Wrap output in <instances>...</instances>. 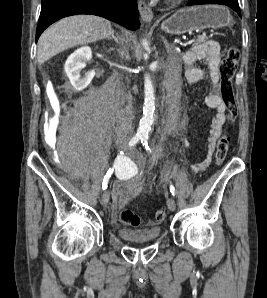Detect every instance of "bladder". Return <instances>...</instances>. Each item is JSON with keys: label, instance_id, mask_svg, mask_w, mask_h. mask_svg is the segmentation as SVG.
I'll return each instance as SVG.
<instances>
[{"label": "bladder", "instance_id": "31cf9c89", "mask_svg": "<svg viewBox=\"0 0 267 298\" xmlns=\"http://www.w3.org/2000/svg\"><path fill=\"white\" fill-rule=\"evenodd\" d=\"M117 233L118 236L126 242L144 244L158 239L161 234V229L160 227H154L146 232H141L129 228H119Z\"/></svg>", "mask_w": 267, "mask_h": 298}]
</instances>
